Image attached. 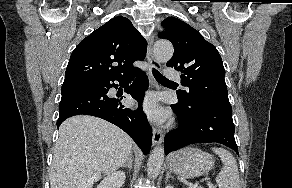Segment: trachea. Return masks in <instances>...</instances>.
Instances as JSON below:
<instances>
[{"label":"trachea","mask_w":292,"mask_h":188,"mask_svg":"<svg viewBox=\"0 0 292 188\" xmlns=\"http://www.w3.org/2000/svg\"><path fill=\"white\" fill-rule=\"evenodd\" d=\"M152 72L157 81L166 82V83H174L173 81H170L169 79L165 78L158 70L153 68Z\"/></svg>","instance_id":"3493384b"}]
</instances>
